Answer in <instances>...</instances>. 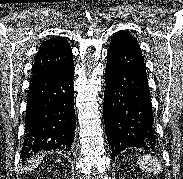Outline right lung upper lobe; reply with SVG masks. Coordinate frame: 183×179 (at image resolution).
Returning a JSON list of instances; mask_svg holds the SVG:
<instances>
[{
    "label": "right lung upper lobe",
    "instance_id": "right-lung-upper-lobe-1",
    "mask_svg": "<svg viewBox=\"0 0 183 179\" xmlns=\"http://www.w3.org/2000/svg\"><path fill=\"white\" fill-rule=\"evenodd\" d=\"M74 68L73 54L68 42L58 36L44 41L36 55L32 74L67 73Z\"/></svg>",
    "mask_w": 183,
    "mask_h": 179
}]
</instances>
